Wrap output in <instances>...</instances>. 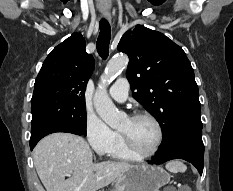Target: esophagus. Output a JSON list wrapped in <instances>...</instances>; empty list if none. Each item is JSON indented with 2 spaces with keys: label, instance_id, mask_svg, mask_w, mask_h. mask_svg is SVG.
Masks as SVG:
<instances>
[{
  "label": "esophagus",
  "instance_id": "esophagus-1",
  "mask_svg": "<svg viewBox=\"0 0 233 191\" xmlns=\"http://www.w3.org/2000/svg\"><path fill=\"white\" fill-rule=\"evenodd\" d=\"M104 18H105L106 20H108V21H110V19H111V17H110L109 14H105V15H104Z\"/></svg>",
  "mask_w": 233,
  "mask_h": 191
}]
</instances>
